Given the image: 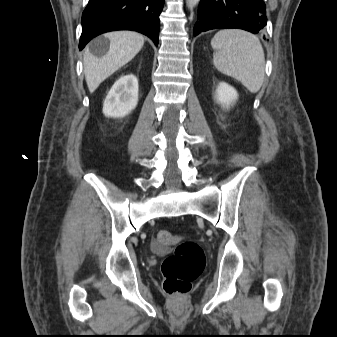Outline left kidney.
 Wrapping results in <instances>:
<instances>
[{
  "label": "left kidney",
  "instance_id": "1",
  "mask_svg": "<svg viewBox=\"0 0 337 337\" xmlns=\"http://www.w3.org/2000/svg\"><path fill=\"white\" fill-rule=\"evenodd\" d=\"M216 99L223 108L228 109L238 99V93L232 86L221 82L217 87Z\"/></svg>",
  "mask_w": 337,
  "mask_h": 337
}]
</instances>
